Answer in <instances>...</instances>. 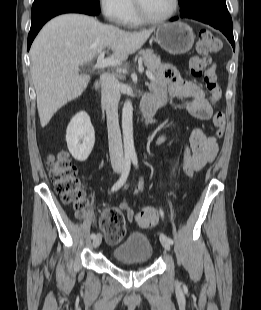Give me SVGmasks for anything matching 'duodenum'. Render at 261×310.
<instances>
[{
    "label": "duodenum",
    "instance_id": "1",
    "mask_svg": "<svg viewBox=\"0 0 261 310\" xmlns=\"http://www.w3.org/2000/svg\"><path fill=\"white\" fill-rule=\"evenodd\" d=\"M99 88V82L97 81L95 83V89L98 90ZM163 104V101L153 95H148L143 98V100L140 103V112L144 116V118L149 119L151 118L155 111Z\"/></svg>",
    "mask_w": 261,
    "mask_h": 310
}]
</instances>
